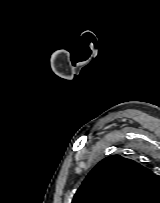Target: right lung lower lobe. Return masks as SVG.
Instances as JSON below:
<instances>
[{
  "mask_svg": "<svg viewBox=\"0 0 160 203\" xmlns=\"http://www.w3.org/2000/svg\"><path fill=\"white\" fill-rule=\"evenodd\" d=\"M150 203H160V196L157 197V200L154 202H150Z\"/></svg>",
  "mask_w": 160,
  "mask_h": 203,
  "instance_id": "obj_1",
  "label": "right lung lower lobe"
}]
</instances>
